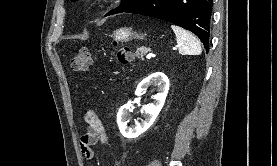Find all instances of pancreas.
I'll return each instance as SVG.
<instances>
[{"mask_svg": "<svg viewBox=\"0 0 277 166\" xmlns=\"http://www.w3.org/2000/svg\"><path fill=\"white\" fill-rule=\"evenodd\" d=\"M150 49L149 48H146V47H139L137 48L136 50V56L139 58V59H143L144 55L149 51Z\"/></svg>", "mask_w": 277, "mask_h": 166, "instance_id": "cf45deb5", "label": "pancreas"}]
</instances>
